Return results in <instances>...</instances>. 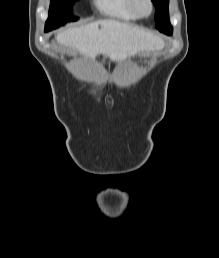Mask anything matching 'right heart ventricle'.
Instances as JSON below:
<instances>
[{
    "label": "right heart ventricle",
    "instance_id": "e07e8e85",
    "mask_svg": "<svg viewBox=\"0 0 219 258\" xmlns=\"http://www.w3.org/2000/svg\"><path fill=\"white\" fill-rule=\"evenodd\" d=\"M98 11L112 19L121 21H135L139 16L131 6V0H94Z\"/></svg>",
    "mask_w": 219,
    "mask_h": 258
}]
</instances>
